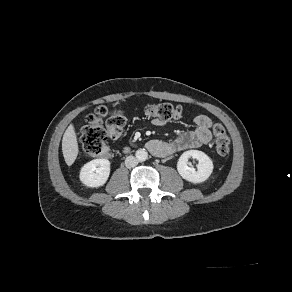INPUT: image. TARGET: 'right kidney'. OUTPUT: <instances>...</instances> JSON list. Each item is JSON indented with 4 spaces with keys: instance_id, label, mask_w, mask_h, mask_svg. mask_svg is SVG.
<instances>
[{
    "instance_id": "right-kidney-1",
    "label": "right kidney",
    "mask_w": 292,
    "mask_h": 292,
    "mask_svg": "<svg viewBox=\"0 0 292 292\" xmlns=\"http://www.w3.org/2000/svg\"><path fill=\"white\" fill-rule=\"evenodd\" d=\"M110 174V162L107 159H94L86 163L80 170V181L87 187L103 186Z\"/></svg>"
}]
</instances>
